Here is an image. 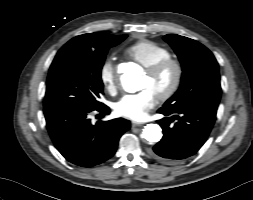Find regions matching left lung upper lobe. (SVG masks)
<instances>
[{"mask_svg": "<svg viewBox=\"0 0 253 200\" xmlns=\"http://www.w3.org/2000/svg\"><path fill=\"white\" fill-rule=\"evenodd\" d=\"M164 40L179 57L183 73L178 91L163 107L171 111L202 105L218 107L221 86L214 55L204 45L187 37L167 34Z\"/></svg>", "mask_w": 253, "mask_h": 200, "instance_id": "left-lung-upper-lobe-1", "label": "left lung upper lobe"}]
</instances>
